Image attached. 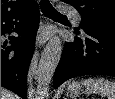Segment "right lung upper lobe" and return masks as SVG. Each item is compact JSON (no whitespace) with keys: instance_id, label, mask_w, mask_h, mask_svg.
I'll list each match as a JSON object with an SVG mask.
<instances>
[{"instance_id":"1","label":"right lung upper lobe","mask_w":115,"mask_h":99,"mask_svg":"<svg viewBox=\"0 0 115 99\" xmlns=\"http://www.w3.org/2000/svg\"><path fill=\"white\" fill-rule=\"evenodd\" d=\"M34 2L35 0H1V18L20 13Z\"/></svg>"}]
</instances>
